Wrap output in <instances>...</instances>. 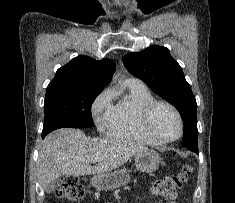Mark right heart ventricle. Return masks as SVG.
Segmentation results:
<instances>
[{
  "instance_id": "1",
  "label": "right heart ventricle",
  "mask_w": 235,
  "mask_h": 203,
  "mask_svg": "<svg viewBox=\"0 0 235 203\" xmlns=\"http://www.w3.org/2000/svg\"><path fill=\"white\" fill-rule=\"evenodd\" d=\"M154 100L155 97L142 83L125 81L106 123L109 136L147 145L158 144L144 133L140 123L143 107Z\"/></svg>"
}]
</instances>
